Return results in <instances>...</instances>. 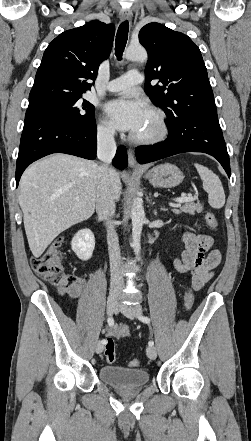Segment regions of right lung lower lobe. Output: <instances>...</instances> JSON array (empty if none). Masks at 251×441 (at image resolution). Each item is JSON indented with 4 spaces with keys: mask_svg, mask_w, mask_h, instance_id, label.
<instances>
[{
    "mask_svg": "<svg viewBox=\"0 0 251 441\" xmlns=\"http://www.w3.org/2000/svg\"><path fill=\"white\" fill-rule=\"evenodd\" d=\"M96 150L95 122L88 127H78L51 115L27 110L16 164V187L24 170L46 155L61 152L95 159ZM113 165L119 169L127 167L124 146L118 147Z\"/></svg>",
    "mask_w": 251,
    "mask_h": 441,
    "instance_id": "right-lung-lower-lobe-1",
    "label": "right lung lower lobe"
}]
</instances>
